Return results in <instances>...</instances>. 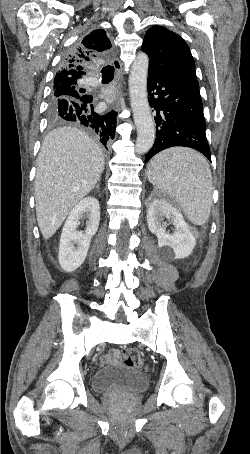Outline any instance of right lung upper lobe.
Returning <instances> with one entry per match:
<instances>
[{"mask_svg": "<svg viewBox=\"0 0 250 454\" xmlns=\"http://www.w3.org/2000/svg\"><path fill=\"white\" fill-rule=\"evenodd\" d=\"M111 46L103 29L92 31L65 56L54 78V85L77 83L85 75L84 67L91 64Z\"/></svg>", "mask_w": 250, "mask_h": 454, "instance_id": "cb5924a9", "label": "right lung upper lobe"}]
</instances>
